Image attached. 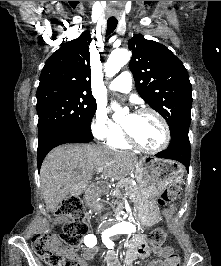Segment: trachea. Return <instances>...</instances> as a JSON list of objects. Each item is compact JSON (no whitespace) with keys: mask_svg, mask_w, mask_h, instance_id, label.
Returning <instances> with one entry per match:
<instances>
[{"mask_svg":"<svg viewBox=\"0 0 221 266\" xmlns=\"http://www.w3.org/2000/svg\"><path fill=\"white\" fill-rule=\"evenodd\" d=\"M118 21L117 20H108L107 21V31L106 34L110 35L117 27Z\"/></svg>","mask_w":221,"mask_h":266,"instance_id":"1","label":"trachea"}]
</instances>
